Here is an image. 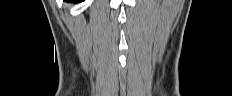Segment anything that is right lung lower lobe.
<instances>
[{"label": "right lung lower lobe", "mask_w": 232, "mask_h": 96, "mask_svg": "<svg viewBox=\"0 0 232 96\" xmlns=\"http://www.w3.org/2000/svg\"><path fill=\"white\" fill-rule=\"evenodd\" d=\"M67 2H80V1H83V0H66Z\"/></svg>", "instance_id": "1"}]
</instances>
